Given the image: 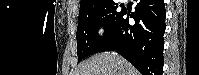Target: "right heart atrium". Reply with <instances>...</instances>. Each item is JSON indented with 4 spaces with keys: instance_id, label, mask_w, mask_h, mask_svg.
<instances>
[{
    "instance_id": "right-heart-atrium-1",
    "label": "right heart atrium",
    "mask_w": 199,
    "mask_h": 75,
    "mask_svg": "<svg viewBox=\"0 0 199 75\" xmlns=\"http://www.w3.org/2000/svg\"><path fill=\"white\" fill-rule=\"evenodd\" d=\"M105 33V26L103 24L97 25L95 29V34L97 36H102Z\"/></svg>"
}]
</instances>
